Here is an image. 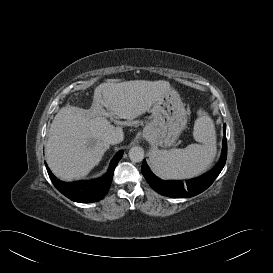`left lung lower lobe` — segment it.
<instances>
[{"mask_svg":"<svg viewBox=\"0 0 273 273\" xmlns=\"http://www.w3.org/2000/svg\"><path fill=\"white\" fill-rule=\"evenodd\" d=\"M224 138L223 148L219 162L217 165L206 175L198 178L182 181H164L156 177L149 169L146 161L142 163L141 171L149 185L159 194L172 198H186L193 197L204 190H206L218 177L222 171L226 158H227V140H226V125L223 126Z\"/></svg>","mask_w":273,"mask_h":273,"instance_id":"1","label":"left lung lower lobe"}]
</instances>
